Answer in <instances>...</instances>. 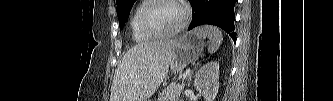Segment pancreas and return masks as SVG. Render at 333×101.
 <instances>
[{
  "label": "pancreas",
  "mask_w": 333,
  "mask_h": 101,
  "mask_svg": "<svg viewBox=\"0 0 333 101\" xmlns=\"http://www.w3.org/2000/svg\"><path fill=\"white\" fill-rule=\"evenodd\" d=\"M184 88V83L169 85L158 95V101H178Z\"/></svg>",
  "instance_id": "pancreas-1"
}]
</instances>
